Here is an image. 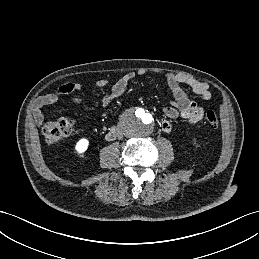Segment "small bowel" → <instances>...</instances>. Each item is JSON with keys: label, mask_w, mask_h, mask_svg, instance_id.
Instances as JSON below:
<instances>
[{"label": "small bowel", "mask_w": 259, "mask_h": 259, "mask_svg": "<svg viewBox=\"0 0 259 259\" xmlns=\"http://www.w3.org/2000/svg\"><path fill=\"white\" fill-rule=\"evenodd\" d=\"M145 70H139L138 75H143ZM136 74L129 72L114 81L108 93L102 97V104L109 105L115 98L121 96L129 83L135 78ZM163 76L172 91L173 100L171 104L164 108L165 118L161 121L160 127L163 132L169 133L172 130L171 120L182 119L188 123L195 124L199 122L204 115V110L195 101L191 100L184 90V86L199 95L203 100L211 98L209 85L206 82L196 80L186 73L164 72ZM111 83L108 79H101L96 82L97 88H102ZM82 88L78 82H71L61 85L56 91L40 96L36 99L32 107V115L38 125L43 123L42 108L56 104L62 96L70 95ZM75 103H81L82 98L73 96Z\"/></svg>", "instance_id": "c3829d8e"}]
</instances>
